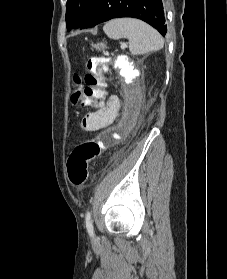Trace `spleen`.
I'll use <instances>...</instances> for the list:
<instances>
[{
    "mask_svg": "<svg viewBox=\"0 0 227 279\" xmlns=\"http://www.w3.org/2000/svg\"><path fill=\"white\" fill-rule=\"evenodd\" d=\"M103 30L111 39L127 38L129 50L134 55L158 51L164 45L161 35L150 25L138 19H114L106 23Z\"/></svg>",
    "mask_w": 227,
    "mask_h": 279,
    "instance_id": "1",
    "label": "spleen"
}]
</instances>
